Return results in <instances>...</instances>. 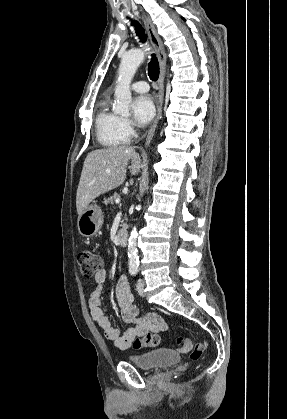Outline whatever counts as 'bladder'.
I'll return each mask as SVG.
<instances>
[{"mask_svg": "<svg viewBox=\"0 0 287 419\" xmlns=\"http://www.w3.org/2000/svg\"><path fill=\"white\" fill-rule=\"evenodd\" d=\"M129 361L145 370H162L177 364L180 357L172 350L162 348L130 357Z\"/></svg>", "mask_w": 287, "mask_h": 419, "instance_id": "1", "label": "bladder"}]
</instances>
